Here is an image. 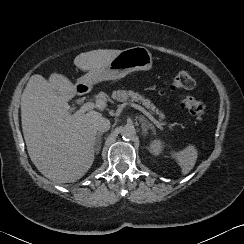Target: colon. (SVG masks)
<instances>
[{
    "label": "colon",
    "instance_id": "obj_1",
    "mask_svg": "<svg viewBox=\"0 0 244 244\" xmlns=\"http://www.w3.org/2000/svg\"><path fill=\"white\" fill-rule=\"evenodd\" d=\"M195 86L193 76L186 70L179 71L172 81L174 90L188 91ZM181 105L197 120H203L206 116L208 104L204 101L195 99L188 93H181Z\"/></svg>",
    "mask_w": 244,
    "mask_h": 244
}]
</instances>
